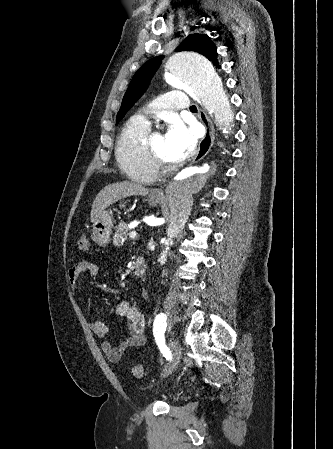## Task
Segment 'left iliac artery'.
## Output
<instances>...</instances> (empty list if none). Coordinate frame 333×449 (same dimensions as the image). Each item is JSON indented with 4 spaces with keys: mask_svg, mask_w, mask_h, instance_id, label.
<instances>
[{
    "mask_svg": "<svg viewBox=\"0 0 333 449\" xmlns=\"http://www.w3.org/2000/svg\"><path fill=\"white\" fill-rule=\"evenodd\" d=\"M166 316L163 313L158 314L155 317L154 324H153V334L155 337V341L158 345L159 350L163 354V356L167 360H171L172 355L171 351L165 344V338L164 333L166 331Z\"/></svg>",
    "mask_w": 333,
    "mask_h": 449,
    "instance_id": "1",
    "label": "left iliac artery"
}]
</instances>
